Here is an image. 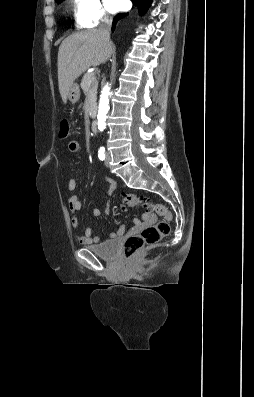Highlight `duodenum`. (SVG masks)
<instances>
[{
  "mask_svg": "<svg viewBox=\"0 0 254 397\" xmlns=\"http://www.w3.org/2000/svg\"><path fill=\"white\" fill-rule=\"evenodd\" d=\"M90 128H91V131H92V132H94V133L97 132V130H98V125H97V120H96V119L92 120V122H91V124H90Z\"/></svg>",
  "mask_w": 254,
  "mask_h": 397,
  "instance_id": "1",
  "label": "duodenum"
}]
</instances>
